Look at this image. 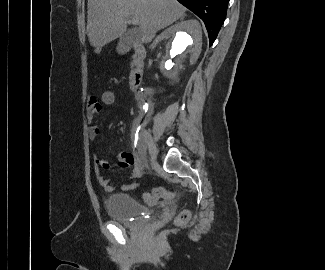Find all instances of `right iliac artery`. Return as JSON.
Here are the masks:
<instances>
[{"instance_id":"82829eb1","label":"right iliac artery","mask_w":325,"mask_h":270,"mask_svg":"<svg viewBox=\"0 0 325 270\" xmlns=\"http://www.w3.org/2000/svg\"><path fill=\"white\" fill-rule=\"evenodd\" d=\"M141 136L145 142V145L150 149L151 147V136L149 133L145 130L142 131Z\"/></svg>"}]
</instances>
